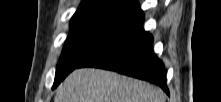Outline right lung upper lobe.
<instances>
[{"instance_id":"right-lung-upper-lobe-1","label":"right lung upper lobe","mask_w":221,"mask_h":102,"mask_svg":"<svg viewBox=\"0 0 221 102\" xmlns=\"http://www.w3.org/2000/svg\"><path fill=\"white\" fill-rule=\"evenodd\" d=\"M95 3H108L113 6L125 7V8L136 9V10L141 11V9L138 7V4L135 0H83L80 8L91 5V4H95Z\"/></svg>"}]
</instances>
